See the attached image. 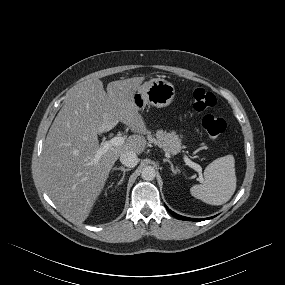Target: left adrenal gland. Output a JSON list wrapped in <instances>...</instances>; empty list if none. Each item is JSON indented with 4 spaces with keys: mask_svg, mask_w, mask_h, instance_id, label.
Listing matches in <instances>:
<instances>
[{
    "mask_svg": "<svg viewBox=\"0 0 285 285\" xmlns=\"http://www.w3.org/2000/svg\"><path fill=\"white\" fill-rule=\"evenodd\" d=\"M163 161H164V162H168V163L170 164L171 171H172L173 173H177V170H175V168H174L172 162H171L169 159H164Z\"/></svg>",
    "mask_w": 285,
    "mask_h": 285,
    "instance_id": "a2214340",
    "label": "left adrenal gland"
}]
</instances>
